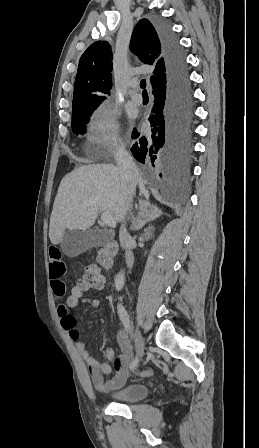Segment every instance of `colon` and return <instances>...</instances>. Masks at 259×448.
<instances>
[{"mask_svg": "<svg viewBox=\"0 0 259 448\" xmlns=\"http://www.w3.org/2000/svg\"><path fill=\"white\" fill-rule=\"evenodd\" d=\"M77 286L82 291H101L106 287V279L97 268L88 267L79 278Z\"/></svg>", "mask_w": 259, "mask_h": 448, "instance_id": "obj_1", "label": "colon"}]
</instances>
